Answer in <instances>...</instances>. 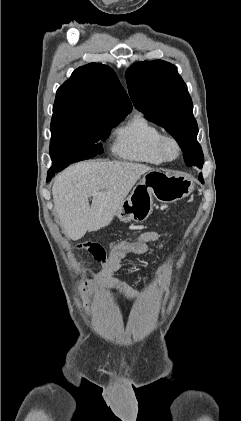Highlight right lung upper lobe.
<instances>
[{"label": "right lung upper lobe", "mask_w": 241, "mask_h": 421, "mask_svg": "<svg viewBox=\"0 0 241 421\" xmlns=\"http://www.w3.org/2000/svg\"><path fill=\"white\" fill-rule=\"evenodd\" d=\"M131 102L114 71L99 63L76 69L56 93L53 117L92 120L125 117Z\"/></svg>", "instance_id": "cb5924a9"}]
</instances>
